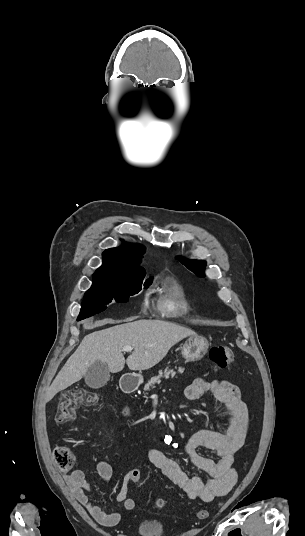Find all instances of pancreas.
Instances as JSON below:
<instances>
[{
  "mask_svg": "<svg viewBox=\"0 0 305 536\" xmlns=\"http://www.w3.org/2000/svg\"><path fill=\"white\" fill-rule=\"evenodd\" d=\"M177 372L178 374H183L184 368H179ZM177 372H174V370H169V368H166L164 372L163 370H159L158 376H155V378H151L148 384H145L144 386L145 392H149V390H152V388H156L155 384H160L162 378H166V380H168V378H175Z\"/></svg>",
  "mask_w": 305,
  "mask_h": 536,
  "instance_id": "cf45deb5",
  "label": "pancreas"
}]
</instances>
